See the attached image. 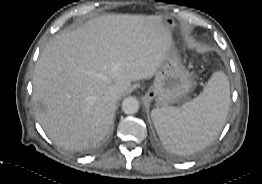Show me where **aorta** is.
<instances>
[{"label":"aorta","mask_w":262,"mask_h":184,"mask_svg":"<svg viewBox=\"0 0 262 184\" xmlns=\"http://www.w3.org/2000/svg\"><path fill=\"white\" fill-rule=\"evenodd\" d=\"M139 107V101L133 96L125 98L122 102V110L125 114H135Z\"/></svg>","instance_id":"aorta-1"}]
</instances>
